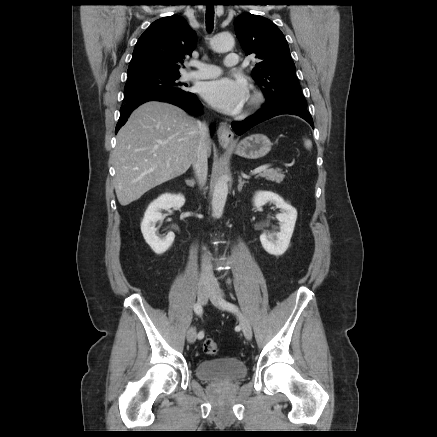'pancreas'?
<instances>
[{
    "label": "pancreas",
    "mask_w": 437,
    "mask_h": 437,
    "mask_svg": "<svg viewBox=\"0 0 437 437\" xmlns=\"http://www.w3.org/2000/svg\"><path fill=\"white\" fill-rule=\"evenodd\" d=\"M259 176L276 183H281L285 177L280 169H265Z\"/></svg>",
    "instance_id": "pancreas-1"
}]
</instances>
